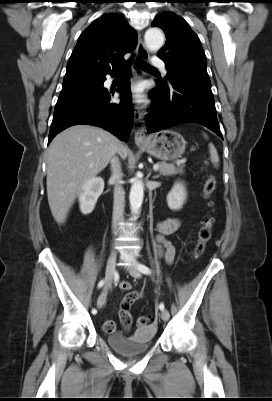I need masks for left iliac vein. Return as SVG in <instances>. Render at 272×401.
Wrapping results in <instances>:
<instances>
[{"label":"left iliac vein","mask_w":272,"mask_h":401,"mask_svg":"<svg viewBox=\"0 0 272 401\" xmlns=\"http://www.w3.org/2000/svg\"><path fill=\"white\" fill-rule=\"evenodd\" d=\"M128 271H129V274L134 278L141 277L140 271L134 265L129 266ZM160 317L163 321H167L169 319V312L167 310H162L160 313Z\"/></svg>","instance_id":"left-iliac-vein-1"}]
</instances>
